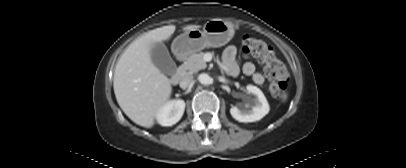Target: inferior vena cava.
<instances>
[{
    "instance_id": "inferior-vena-cava-1",
    "label": "inferior vena cava",
    "mask_w": 406,
    "mask_h": 168,
    "mask_svg": "<svg viewBox=\"0 0 406 168\" xmlns=\"http://www.w3.org/2000/svg\"><path fill=\"white\" fill-rule=\"evenodd\" d=\"M192 81L193 76L191 74H187L181 78L179 85L182 89H186L191 85Z\"/></svg>"
}]
</instances>
